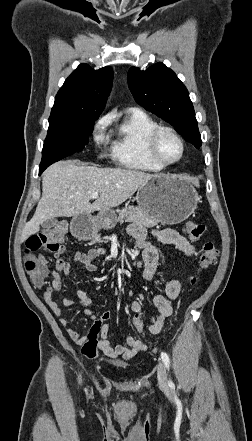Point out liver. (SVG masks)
Returning a JSON list of instances; mask_svg holds the SVG:
<instances>
[{
  "label": "liver",
  "mask_w": 252,
  "mask_h": 441,
  "mask_svg": "<svg viewBox=\"0 0 252 441\" xmlns=\"http://www.w3.org/2000/svg\"><path fill=\"white\" fill-rule=\"evenodd\" d=\"M156 175L133 169L99 168L77 161L57 162L42 178V197L32 219L24 226L21 241L40 230V224L56 217H71L117 207ZM99 197L90 203L91 195Z\"/></svg>",
  "instance_id": "liver-1"
}]
</instances>
